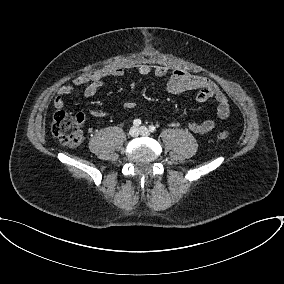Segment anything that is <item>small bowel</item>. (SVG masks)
<instances>
[{
  "mask_svg": "<svg viewBox=\"0 0 284 284\" xmlns=\"http://www.w3.org/2000/svg\"><path fill=\"white\" fill-rule=\"evenodd\" d=\"M141 75L152 74L156 77H166L167 90L172 94H183L188 91L196 90V100L198 102H205L213 99L217 103L215 117L218 120L226 119L230 114V105L227 96L219 88V86L209 78L191 74L181 69H167L166 67L156 65L150 66L139 63L132 67ZM124 67H113L106 70H94L80 74L71 84L60 87L54 98V107L60 109L64 106L65 98L68 95L81 91L86 98H93L98 90L103 85V82L108 77H121L125 73ZM90 114L96 117H104L106 112L93 108ZM172 127L179 126L178 122H171ZM216 123L214 120H205L201 123L190 122L187 128L196 134H206L214 130Z\"/></svg>",
  "mask_w": 284,
  "mask_h": 284,
  "instance_id": "small-bowel-1",
  "label": "small bowel"
}]
</instances>
